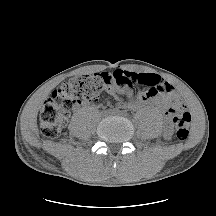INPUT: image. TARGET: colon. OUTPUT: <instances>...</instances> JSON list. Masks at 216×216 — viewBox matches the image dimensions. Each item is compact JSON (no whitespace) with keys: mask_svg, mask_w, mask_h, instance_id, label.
Here are the masks:
<instances>
[{"mask_svg":"<svg viewBox=\"0 0 216 216\" xmlns=\"http://www.w3.org/2000/svg\"><path fill=\"white\" fill-rule=\"evenodd\" d=\"M130 82L131 75L123 71L84 75L64 82L53 91L41 108L42 134L47 138H56L66 117L76 105L96 102L113 86H127ZM167 114L175 126L177 138L186 140L189 135L190 114L180 107L170 109Z\"/></svg>","mask_w":216,"mask_h":216,"instance_id":"5ec220e1","label":"colon"}]
</instances>
